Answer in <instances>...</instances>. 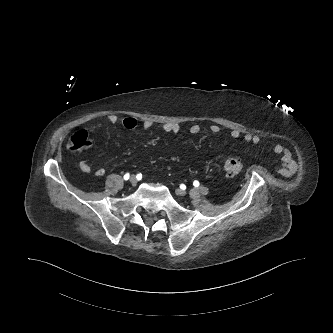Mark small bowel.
Listing matches in <instances>:
<instances>
[{
	"label": "small bowel",
	"instance_id": "obj_1",
	"mask_svg": "<svg viewBox=\"0 0 333 333\" xmlns=\"http://www.w3.org/2000/svg\"><path fill=\"white\" fill-rule=\"evenodd\" d=\"M118 121L119 118L116 115H110L107 118V123L109 124H116ZM122 125L128 130H132L138 126V120L134 117H126L122 120ZM141 125L144 130H149L152 128L153 122L150 120H145L142 122ZM163 130L166 133L177 134L180 131V125L174 122H167L163 125ZM210 130L212 133L217 134L220 132L221 129L218 125L214 124L210 127ZM200 131H201V125L199 123H194L189 128V132L192 135H196ZM230 136L233 139H238L241 137V132L239 130L234 129L230 132ZM243 139L245 142L252 143L254 145H258L261 143V138L257 135L245 134L243 136ZM272 151L274 154L279 156L281 160L282 173L288 175L296 171L297 169L296 161L288 148H286L281 144H275L272 148ZM79 168L81 169L82 172L86 174H94V176L96 177H102L106 173V170L103 167H98L95 170H93L90 164L84 159L79 161Z\"/></svg>",
	"mask_w": 333,
	"mask_h": 333
}]
</instances>
